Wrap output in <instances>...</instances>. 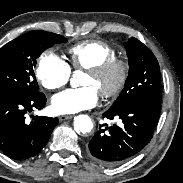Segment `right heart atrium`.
Listing matches in <instances>:
<instances>
[{
  "mask_svg": "<svg viewBox=\"0 0 183 183\" xmlns=\"http://www.w3.org/2000/svg\"><path fill=\"white\" fill-rule=\"evenodd\" d=\"M71 75L68 64L54 51L43 52L37 60L35 76L47 90H56L67 84Z\"/></svg>",
  "mask_w": 183,
  "mask_h": 183,
  "instance_id": "1",
  "label": "right heart atrium"
}]
</instances>
